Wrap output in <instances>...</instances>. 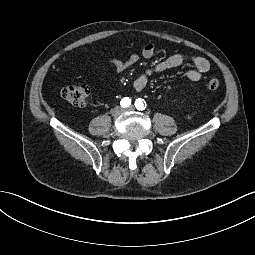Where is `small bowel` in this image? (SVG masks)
Wrapping results in <instances>:
<instances>
[{"label": "small bowel", "mask_w": 255, "mask_h": 255, "mask_svg": "<svg viewBox=\"0 0 255 255\" xmlns=\"http://www.w3.org/2000/svg\"><path fill=\"white\" fill-rule=\"evenodd\" d=\"M155 46L153 44H147L142 49V57L145 59H150L155 55ZM138 59L137 55H132L128 60H113L111 62L112 66L119 72L124 71L132 64H134ZM189 62L194 67L185 73V78L187 81L195 82L201 79L202 75L210 70L211 64L208 59L202 56H188L184 54H173L166 59L159 61L149 68L145 69L138 77L133 81V88L136 92L143 91L152 76L164 71L179 67L184 63Z\"/></svg>", "instance_id": "small-bowel-1"}]
</instances>
